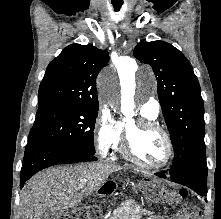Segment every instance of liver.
I'll return each mask as SVG.
<instances>
[{
  "instance_id": "liver-1",
  "label": "liver",
  "mask_w": 221,
  "mask_h": 219,
  "mask_svg": "<svg viewBox=\"0 0 221 219\" xmlns=\"http://www.w3.org/2000/svg\"><path fill=\"white\" fill-rule=\"evenodd\" d=\"M121 169L113 163L96 162L43 170L22 189L20 216L22 219H41L48 211L74 208L83 197L100 189L110 174Z\"/></svg>"
}]
</instances>
